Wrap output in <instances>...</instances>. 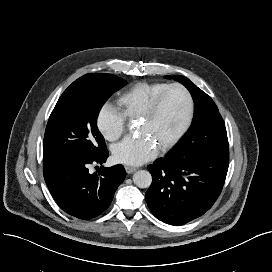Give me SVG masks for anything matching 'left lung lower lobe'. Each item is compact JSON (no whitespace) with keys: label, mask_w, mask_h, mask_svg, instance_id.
<instances>
[{"label":"left lung lower lobe","mask_w":272,"mask_h":272,"mask_svg":"<svg viewBox=\"0 0 272 272\" xmlns=\"http://www.w3.org/2000/svg\"><path fill=\"white\" fill-rule=\"evenodd\" d=\"M229 166V152L178 156L169 154L148 169L153 177L146 192L153 215L183 225L209 210L218 198Z\"/></svg>","instance_id":"left-lung-lower-lobe-1"}]
</instances>
